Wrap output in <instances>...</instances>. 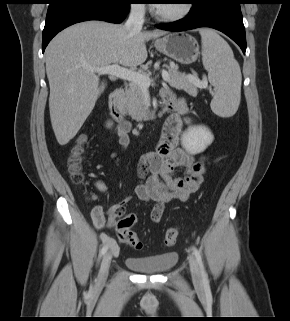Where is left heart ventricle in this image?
I'll use <instances>...</instances> for the list:
<instances>
[{
	"label": "left heart ventricle",
	"instance_id": "left-heart-ventricle-1",
	"mask_svg": "<svg viewBox=\"0 0 290 321\" xmlns=\"http://www.w3.org/2000/svg\"><path fill=\"white\" fill-rule=\"evenodd\" d=\"M182 5V2H174V1H165L164 3L162 4H159L157 6V8L162 11V12H168V13H171V12H175L176 10H178Z\"/></svg>",
	"mask_w": 290,
	"mask_h": 321
}]
</instances>
